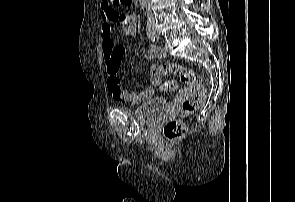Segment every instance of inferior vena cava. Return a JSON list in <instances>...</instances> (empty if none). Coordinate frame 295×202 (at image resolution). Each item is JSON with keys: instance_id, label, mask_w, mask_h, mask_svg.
Listing matches in <instances>:
<instances>
[{"instance_id": "602c4592", "label": "inferior vena cava", "mask_w": 295, "mask_h": 202, "mask_svg": "<svg viewBox=\"0 0 295 202\" xmlns=\"http://www.w3.org/2000/svg\"><path fill=\"white\" fill-rule=\"evenodd\" d=\"M146 12H147V18L148 19H153V13H152V10L150 8V5H148V7L146 9Z\"/></svg>"}]
</instances>
